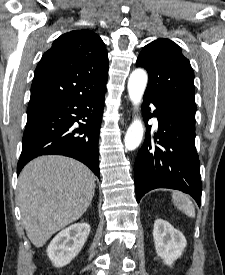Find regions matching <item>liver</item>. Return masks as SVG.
<instances>
[{
  "instance_id": "6515ba94",
  "label": "liver",
  "mask_w": 225,
  "mask_h": 275,
  "mask_svg": "<svg viewBox=\"0 0 225 275\" xmlns=\"http://www.w3.org/2000/svg\"><path fill=\"white\" fill-rule=\"evenodd\" d=\"M94 190V174L72 158L48 155L29 162L19 175L18 201L32 244L42 247L53 234L78 220Z\"/></svg>"
}]
</instances>
